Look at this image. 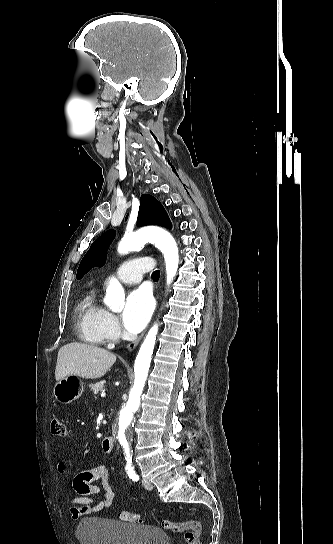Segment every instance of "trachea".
I'll list each match as a JSON object with an SVG mask.
<instances>
[{"label": "trachea", "instance_id": "obj_1", "mask_svg": "<svg viewBox=\"0 0 333 544\" xmlns=\"http://www.w3.org/2000/svg\"><path fill=\"white\" fill-rule=\"evenodd\" d=\"M159 276H160V271L159 270H156L153 272L152 274V278L157 281L159 279Z\"/></svg>", "mask_w": 333, "mask_h": 544}]
</instances>
